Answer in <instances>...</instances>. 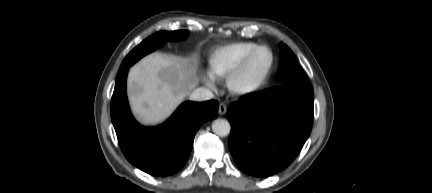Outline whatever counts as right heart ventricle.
Returning <instances> with one entry per match:
<instances>
[{
	"label": "right heart ventricle",
	"mask_w": 432,
	"mask_h": 193,
	"mask_svg": "<svg viewBox=\"0 0 432 193\" xmlns=\"http://www.w3.org/2000/svg\"><path fill=\"white\" fill-rule=\"evenodd\" d=\"M259 44L242 41L214 49L208 57V68L215 78H224Z\"/></svg>",
	"instance_id": "right-heart-ventricle-1"
}]
</instances>
